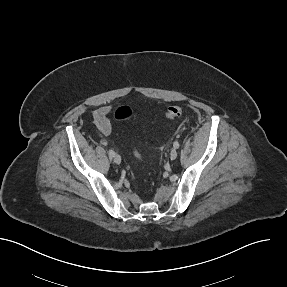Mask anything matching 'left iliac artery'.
Wrapping results in <instances>:
<instances>
[{
    "instance_id": "obj_1",
    "label": "left iliac artery",
    "mask_w": 287,
    "mask_h": 287,
    "mask_svg": "<svg viewBox=\"0 0 287 287\" xmlns=\"http://www.w3.org/2000/svg\"><path fill=\"white\" fill-rule=\"evenodd\" d=\"M173 146H174V148L178 149L179 146H180V145H179V142H178V141H175L174 144H173Z\"/></svg>"
}]
</instances>
